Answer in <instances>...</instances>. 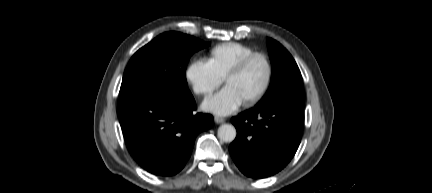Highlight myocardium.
<instances>
[{
	"label": "myocardium",
	"mask_w": 432,
	"mask_h": 193,
	"mask_svg": "<svg viewBox=\"0 0 432 193\" xmlns=\"http://www.w3.org/2000/svg\"><path fill=\"white\" fill-rule=\"evenodd\" d=\"M262 59L266 66V78L264 81V84L262 88L259 90L258 93H256L253 97L243 100L245 106H253L260 102L267 92L269 91L272 81H273V75H274V69L273 64L271 61V58L269 55L265 52L258 51L253 52L243 58L239 63H237L226 75L225 77V83L228 84L229 81L237 76H239L241 73H243L249 65L255 60V59Z\"/></svg>",
	"instance_id": "1"
}]
</instances>
